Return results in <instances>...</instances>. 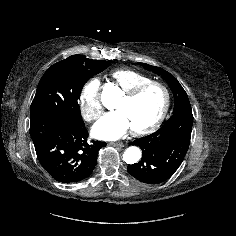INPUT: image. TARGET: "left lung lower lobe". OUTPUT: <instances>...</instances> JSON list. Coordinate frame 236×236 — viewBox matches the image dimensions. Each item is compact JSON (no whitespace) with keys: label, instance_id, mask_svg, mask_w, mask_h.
Returning a JSON list of instances; mask_svg holds the SVG:
<instances>
[{"label":"left lung lower lobe","instance_id":"1","mask_svg":"<svg viewBox=\"0 0 236 236\" xmlns=\"http://www.w3.org/2000/svg\"><path fill=\"white\" fill-rule=\"evenodd\" d=\"M193 125L191 106H181L155 133L132 142L142 150L141 161L128 165V172L143 183L169 179L181 165L189 148Z\"/></svg>","mask_w":236,"mask_h":236}]
</instances>
